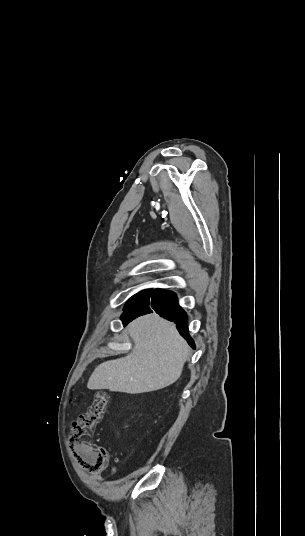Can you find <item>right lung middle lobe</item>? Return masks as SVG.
<instances>
[{
    "mask_svg": "<svg viewBox=\"0 0 305 536\" xmlns=\"http://www.w3.org/2000/svg\"><path fill=\"white\" fill-rule=\"evenodd\" d=\"M151 291V289H147V290H143L141 292H139L138 294L132 296L127 302H126V305L124 307V310H126L128 307H130L131 305H133L135 302H137L140 298H142L143 296L147 295L149 292Z\"/></svg>",
    "mask_w": 305,
    "mask_h": 536,
    "instance_id": "obj_1",
    "label": "right lung middle lobe"
}]
</instances>
